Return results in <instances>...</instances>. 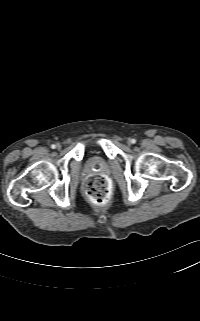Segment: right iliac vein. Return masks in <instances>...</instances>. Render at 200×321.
<instances>
[{
  "label": "right iliac vein",
  "mask_w": 200,
  "mask_h": 321,
  "mask_svg": "<svg viewBox=\"0 0 200 321\" xmlns=\"http://www.w3.org/2000/svg\"><path fill=\"white\" fill-rule=\"evenodd\" d=\"M56 148H57V149H60V148H61V145H60V144H57V145H56Z\"/></svg>",
  "instance_id": "right-iliac-vein-1"
}]
</instances>
